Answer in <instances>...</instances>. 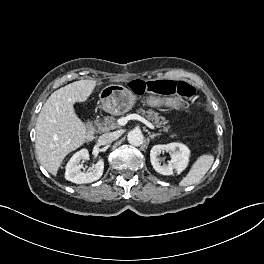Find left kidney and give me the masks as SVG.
Segmentation results:
<instances>
[{
  "label": "left kidney",
  "instance_id": "obj_1",
  "mask_svg": "<svg viewBox=\"0 0 264 264\" xmlns=\"http://www.w3.org/2000/svg\"><path fill=\"white\" fill-rule=\"evenodd\" d=\"M171 153V159L167 165L159 163L161 152ZM190 157L189 148L178 142H172L164 145H155L150 151V160L155 171L162 175H173L174 171L181 173L188 165Z\"/></svg>",
  "mask_w": 264,
  "mask_h": 264
}]
</instances>
